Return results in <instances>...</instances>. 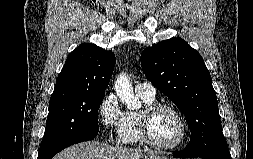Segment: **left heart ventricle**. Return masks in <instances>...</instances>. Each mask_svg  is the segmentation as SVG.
<instances>
[{"mask_svg": "<svg viewBox=\"0 0 253 159\" xmlns=\"http://www.w3.org/2000/svg\"><path fill=\"white\" fill-rule=\"evenodd\" d=\"M152 139L160 145L173 144L181 133V125L177 116L170 110L156 112L150 122Z\"/></svg>", "mask_w": 253, "mask_h": 159, "instance_id": "b2bd125f", "label": "left heart ventricle"}]
</instances>
